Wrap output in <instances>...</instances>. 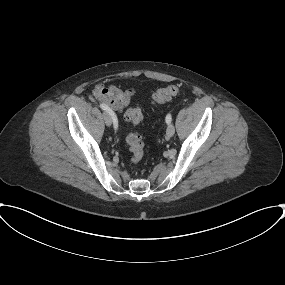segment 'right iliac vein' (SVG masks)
Returning a JSON list of instances; mask_svg holds the SVG:
<instances>
[{"label":"right iliac vein","instance_id":"obj_1","mask_svg":"<svg viewBox=\"0 0 285 285\" xmlns=\"http://www.w3.org/2000/svg\"><path fill=\"white\" fill-rule=\"evenodd\" d=\"M103 118H104V121H105V124L107 126H111L112 125V116L110 115L109 112H104L103 113Z\"/></svg>","mask_w":285,"mask_h":285}]
</instances>
